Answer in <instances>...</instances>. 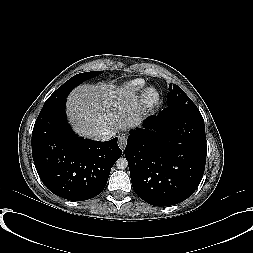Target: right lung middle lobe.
Instances as JSON below:
<instances>
[{"instance_id": "obj_1", "label": "right lung middle lobe", "mask_w": 253, "mask_h": 253, "mask_svg": "<svg viewBox=\"0 0 253 253\" xmlns=\"http://www.w3.org/2000/svg\"><path fill=\"white\" fill-rule=\"evenodd\" d=\"M101 71H93V72H86L81 73L73 76L68 81H66L62 86H60L44 103L43 107H47L50 105L57 104L64 99L67 98L71 90L79 85L81 82L90 79L92 77L97 76L100 74Z\"/></svg>"}]
</instances>
